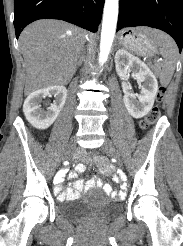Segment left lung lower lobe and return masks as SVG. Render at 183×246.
Returning <instances> with one entry per match:
<instances>
[{"instance_id": "left-lung-lower-lobe-1", "label": "left lung lower lobe", "mask_w": 183, "mask_h": 246, "mask_svg": "<svg viewBox=\"0 0 183 246\" xmlns=\"http://www.w3.org/2000/svg\"><path fill=\"white\" fill-rule=\"evenodd\" d=\"M149 26L165 31L183 48V0H120L117 31Z\"/></svg>"}]
</instances>
